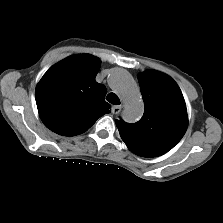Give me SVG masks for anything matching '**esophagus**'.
Listing matches in <instances>:
<instances>
[{
  "instance_id": "esophagus-1",
  "label": "esophagus",
  "mask_w": 223,
  "mask_h": 223,
  "mask_svg": "<svg viewBox=\"0 0 223 223\" xmlns=\"http://www.w3.org/2000/svg\"><path fill=\"white\" fill-rule=\"evenodd\" d=\"M121 106L120 105H114V106H112V108H111V112L113 113V114H118L120 111H121Z\"/></svg>"
}]
</instances>
